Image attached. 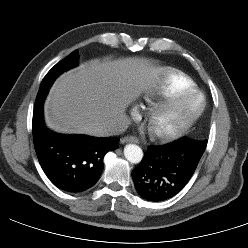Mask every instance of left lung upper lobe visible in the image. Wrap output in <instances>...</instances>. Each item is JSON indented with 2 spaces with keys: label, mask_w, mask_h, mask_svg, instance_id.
<instances>
[{
  "label": "left lung upper lobe",
  "mask_w": 248,
  "mask_h": 248,
  "mask_svg": "<svg viewBox=\"0 0 248 248\" xmlns=\"http://www.w3.org/2000/svg\"><path fill=\"white\" fill-rule=\"evenodd\" d=\"M181 139H185L186 141H189L190 143L202 148V149H206V145H207V141L204 140V141H195V140H191V139H188L186 137H182Z\"/></svg>",
  "instance_id": "left-lung-upper-lobe-1"
}]
</instances>
